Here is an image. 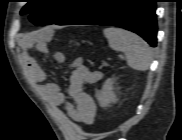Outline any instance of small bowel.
<instances>
[{"label":"small bowel","mask_w":182,"mask_h":140,"mask_svg":"<svg viewBox=\"0 0 182 140\" xmlns=\"http://www.w3.org/2000/svg\"><path fill=\"white\" fill-rule=\"evenodd\" d=\"M49 34L50 32L46 31L45 38ZM39 48H42V45ZM53 58L58 64L66 62L64 54L60 52L54 53ZM23 61L29 78L55 111H59L63 107L68 117L76 123L90 125L94 122L97 105L93 96L85 91L84 86L99 82L102 78L100 71L88 68L81 57L73 60L70 64L72 71L67 89L70 100H67L57 84L46 80L45 72L34 58L24 54Z\"/></svg>","instance_id":"c3829d8e"}]
</instances>
